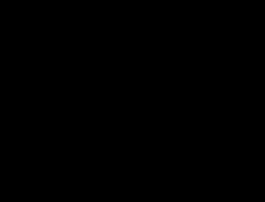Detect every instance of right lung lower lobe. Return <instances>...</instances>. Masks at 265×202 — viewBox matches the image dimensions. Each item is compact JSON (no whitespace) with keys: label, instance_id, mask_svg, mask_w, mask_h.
I'll return each mask as SVG.
<instances>
[{"label":"right lung lower lobe","instance_id":"obj_1","mask_svg":"<svg viewBox=\"0 0 265 202\" xmlns=\"http://www.w3.org/2000/svg\"><path fill=\"white\" fill-rule=\"evenodd\" d=\"M134 112V109L122 112L121 114L111 117L95 129L84 133L68 135L57 132L54 134L52 141L56 144L64 143V145L74 152L80 160L90 162L103 157L110 150L116 129L120 122L132 116Z\"/></svg>","mask_w":265,"mask_h":202}]
</instances>
